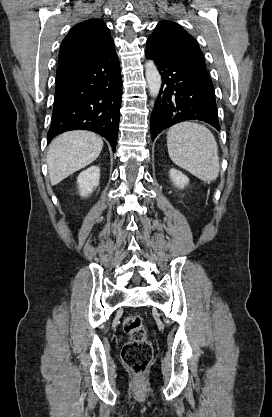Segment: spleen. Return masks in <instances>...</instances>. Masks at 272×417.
<instances>
[{
  "mask_svg": "<svg viewBox=\"0 0 272 417\" xmlns=\"http://www.w3.org/2000/svg\"><path fill=\"white\" fill-rule=\"evenodd\" d=\"M171 160L203 181H214L219 175L217 142L204 125L182 122L167 133Z\"/></svg>",
  "mask_w": 272,
  "mask_h": 417,
  "instance_id": "obj_1",
  "label": "spleen"
}]
</instances>
